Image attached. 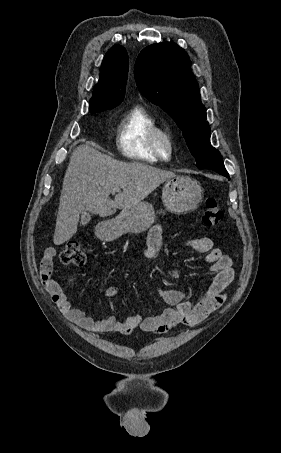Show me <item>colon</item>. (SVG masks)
Listing matches in <instances>:
<instances>
[{"label": "colon", "instance_id": "colon-1", "mask_svg": "<svg viewBox=\"0 0 281 453\" xmlns=\"http://www.w3.org/2000/svg\"><path fill=\"white\" fill-rule=\"evenodd\" d=\"M204 213L202 216V225L207 228L218 227L223 225L226 220L224 211L215 198H207L204 201ZM62 262H86L88 259L87 252L80 246L75 238L66 240L64 249L60 254Z\"/></svg>", "mask_w": 281, "mask_h": 453}]
</instances>
